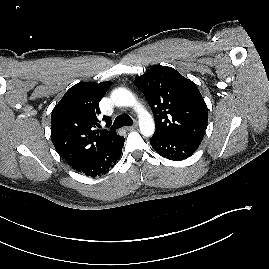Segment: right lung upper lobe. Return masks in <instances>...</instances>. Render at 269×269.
Instances as JSON below:
<instances>
[{
	"instance_id": "cb5924a9",
	"label": "right lung upper lobe",
	"mask_w": 269,
	"mask_h": 269,
	"mask_svg": "<svg viewBox=\"0 0 269 269\" xmlns=\"http://www.w3.org/2000/svg\"><path fill=\"white\" fill-rule=\"evenodd\" d=\"M111 82L78 83L72 86L54 107L51 115V140L58 154L76 167L119 135L115 131L98 130L99 102ZM106 124L111 123L104 116Z\"/></svg>"
}]
</instances>
